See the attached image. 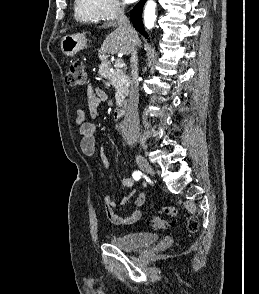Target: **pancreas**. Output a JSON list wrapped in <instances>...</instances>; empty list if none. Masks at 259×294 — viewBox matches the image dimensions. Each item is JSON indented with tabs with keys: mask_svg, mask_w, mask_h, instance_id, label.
<instances>
[{
	"mask_svg": "<svg viewBox=\"0 0 259 294\" xmlns=\"http://www.w3.org/2000/svg\"><path fill=\"white\" fill-rule=\"evenodd\" d=\"M99 74L106 78L115 88L116 103L117 105H122L128 95L129 87V77L126 75L125 70L114 67L111 71L109 64L103 62L99 66Z\"/></svg>",
	"mask_w": 259,
	"mask_h": 294,
	"instance_id": "1",
	"label": "pancreas"
}]
</instances>
